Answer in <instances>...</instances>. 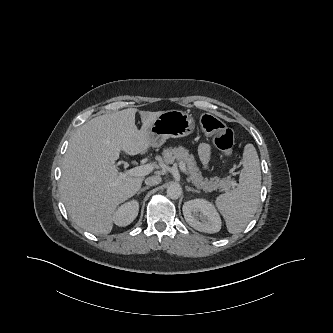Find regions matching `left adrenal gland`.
<instances>
[{
  "mask_svg": "<svg viewBox=\"0 0 333 333\" xmlns=\"http://www.w3.org/2000/svg\"><path fill=\"white\" fill-rule=\"evenodd\" d=\"M186 191H192V192H196V193H200V191L196 190V189H193V188H190L189 186H186Z\"/></svg>",
  "mask_w": 333,
  "mask_h": 333,
  "instance_id": "obj_1",
  "label": "left adrenal gland"
}]
</instances>
